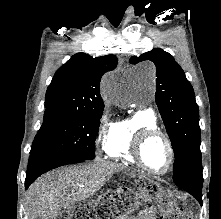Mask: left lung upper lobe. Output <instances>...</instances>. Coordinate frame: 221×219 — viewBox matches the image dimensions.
Wrapping results in <instances>:
<instances>
[{"instance_id":"obj_1","label":"left lung upper lobe","mask_w":221,"mask_h":219,"mask_svg":"<svg viewBox=\"0 0 221 219\" xmlns=\"http://www.w3.org/2000/svg\"><path fill=\"white\" fill-rule=\"evenodd\" d=\"M145 60L156 66L155 100L174 150V183L179 187L202 186L199 114L193 88L169 53L155 48L131 57L129 62Z\"/></svg>"}]
</instances>
